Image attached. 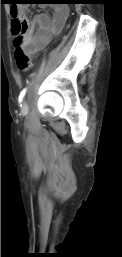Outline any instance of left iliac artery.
Here are the masks:
<instances>
[{
    "instance_id": "1",
    "label": "left iliac artery",
    "mask_w": 122,
    "mask_h": 257,
    "mask_svg": "<svg viewBox=\"0 0 122 257\" xmlns=\"http://www.w3.org/2000/svg\"><path fill=\"white\" fill-rule=\"evenodd\" d=\"M26 91H27V88H24V89L20 92V95H19V98H18L19 103L22 102V100H23V98H24V96H25V94H26Z\"/></svg>"
}]
</instances>
